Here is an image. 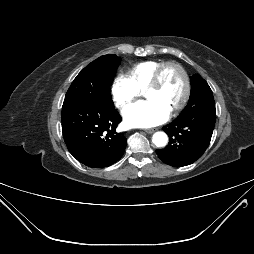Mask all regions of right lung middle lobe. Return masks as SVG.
Wrapping results in <instances>:
<instances>
[{
    "instance_id": "obj_1",
    "label": "right lung middle lobe",
    "mask_w": 254,
    "mask_h": 254,
    "mask_svg": "<svg viewBox=\"0 0 254 254\" xmlns=\"http://www.w3.org/2000/svg\"><path fill=\"white\" fill-rule=\"evenodd\" d=\"M119 64L120 58L113 54L101 56L91 62L74 79L65 100H75L100 108L113 107L110 84Z\"/></svg>"
}]
</instances>
